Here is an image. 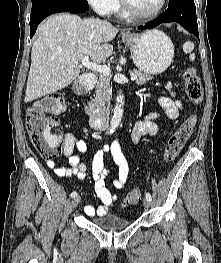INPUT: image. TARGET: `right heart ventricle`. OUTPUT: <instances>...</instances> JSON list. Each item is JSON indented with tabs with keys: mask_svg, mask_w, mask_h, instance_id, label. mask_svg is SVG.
<instances>
[{
	"mask_svg": "<svg viewBox=\"0 0 221 263\" xmlns=\"http://www.w3.org/2000/svg\"><path fill=\"white\" fill-rule=\"evenodd\" d=\"M115 11L118 13V15H120L122 18H128L129 15L123 10L120 8L119 5H117V8L115 9Z\"/></svg>",
	"mask_w": 221,
	"mask_h": 263,
	"instance_id": "e07e8e85",
	"label": "right heart ventricle"
}]
</instances>
